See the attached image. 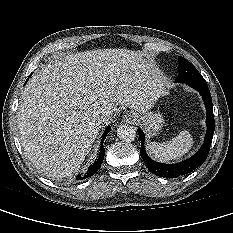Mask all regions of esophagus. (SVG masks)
I'll use <instances>...</instances> for the list:
<instances>
[{"label": "esophagus", "mask_w": 233, "mask_h": 233, "mask_svg": "<svg viewBox=\"0 0 233 233\" xmlns=\"http://www.w3.org/2000/svg\"><path fill=\"white\" fill-rule=\"evenodd\" d=\"M137 115L133 112H129L125 115L124 120L128 123H132L136 120Z\"/></svg>", "instance_id": "34e87169"}]
</instances>
